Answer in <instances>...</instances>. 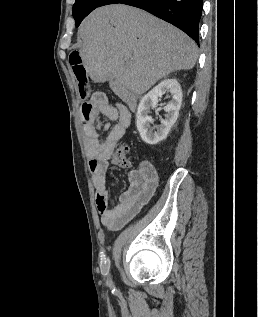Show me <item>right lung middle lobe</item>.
<instances>
[{"mask_svg":"<svg viewBox=\"0 0 258 317\" xmlns=\"http://www.w3.org/2000/svg\"><path fill=\"white\" fill-rule=\"evenodd\" d=\"M86 2V0H76L74 5H73V16L74 18L77 16L78 12L80 11V9L82 8V6L84 5V3Z\"/></svg>","mask_w":258,"mask_h":317,"instance_id":"right-lung-middle-lobe-1","label":"right lung middle lobe"}]
</instances>
